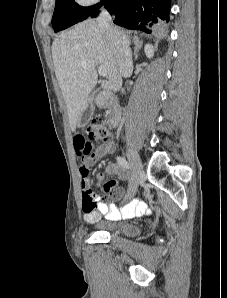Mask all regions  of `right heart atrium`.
<instances>
[{"label": "right heart atrium", "mask_w": 227, "mask_h": 298, "mask_svg": "<svg viewBox=\"0 0 227 298\" xmlns=\"http://www.w3.org/2000/svg\"><path fill=\"white\" fill-rule=\"evenodd\" d=\"M98 1L99 0H75V2L82 7H88V6L94 5Z\"/></svg>", "instance_id": "1"}]
</instances>
